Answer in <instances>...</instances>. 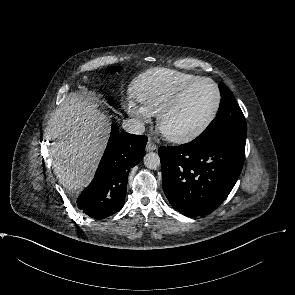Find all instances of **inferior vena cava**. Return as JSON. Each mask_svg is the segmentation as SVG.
<instances>
[{"mask_svg":"<svg viewBox=\"0 0 295 295\" xmlns=\"http://www.w3.org/2000/svg\"><path fill=\"white\" fill-rule=\"evenodd\" d=\"M122 127L126 132L131 134H142L145 131L144 123L137 118L124 120Z\"/></svg>","mask_w":295,"mask_h":295,"instance_id":"1","label":"inferior vena cava"}]
</instances>
